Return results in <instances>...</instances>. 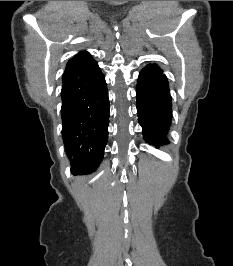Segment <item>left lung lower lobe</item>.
Here are the masks:
<instances>
[{"instance_id": "0a47b994", "label": "left lung lower lobe", "mask_w": 233, "mask_h": 266, "mask_svg": "<svg viewBox=\"0 0 233 266\" xmlns=\"http://www.w3.org/2000/svg\"><path fill=\"white\" fill-rule=\"evenodd\" d=\"M138 120L145 140L158 148L167 144L172 104L168 80L156 64L147 65L139 74L136 86Z\"/></svg>"}]
</instances>
